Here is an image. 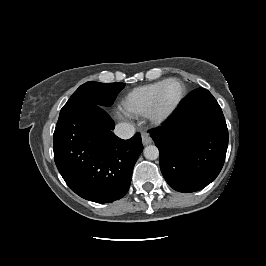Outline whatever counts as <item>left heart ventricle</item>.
<instances>
[{"label":"left heart ventricle","mask_w":266,"mask_h":266,"mask_svg":"<svg viewBox=\"0 0 266 266\" xmlns=\"http://www.w3.org/2000/svg\"><path fill=\"white\" fill-rule=\"evenodd\" d=\"M181 93V87L178 83L172 82L166 86L161 98L160 107L162 112L168 111L177 101Z\"/></svg>","instance_id":"b2bd125f"}]
</instances>
